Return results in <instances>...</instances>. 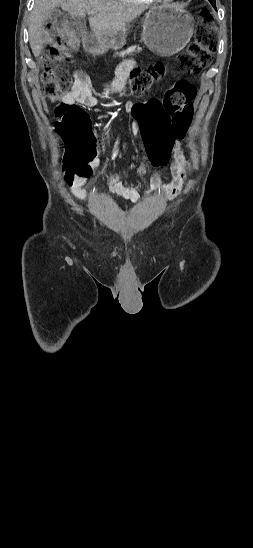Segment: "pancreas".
I'll list each match as a JSON object with an SVG mask.
<instances>
[{
	"label": "pancreas",
	"instance_id": "cf45deb5",
	"mask_svg": "<svg viewBox=\"0 0 253 548\" xmlns=\"http://www.w3.org/2000/svg\"><path fill=\"white\" fill-rule=\"evenodd\" d=\"M139 51H141V48H140V47L133 46V47H130V48L126 49V50H123V51H121V52H119V53H116V54L119 55V56L124 57L125 55H130V54H132V53H134V52H139Z\"/></svg>",
	"mask_w": 253,
	"mask_h": 548
}]
</instances>
